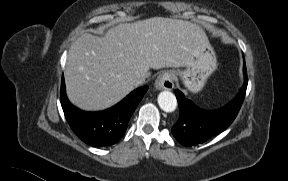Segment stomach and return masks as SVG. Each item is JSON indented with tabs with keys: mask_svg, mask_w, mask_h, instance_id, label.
I'll use <instances>...</instances> for the list:
<instances>
[{
	"mask_svg": "<svg viewBox=\"0 0 288 181\" xmlns=\"http://www.w3.org/2000/svg\"><path fill=\"white\" fill-rule=\"evenodd\" d=\"M216 66V54L204 34L191 49L190 59L185 66V70L178 71L177 75L181 77L188 90L196 93L202 90Z\"/></svg>",
	"mask_w": 288,
	"mask_h": 181,
	"instance_id": "stomach-1",
	"label": "stomach"
}]
</instances>
